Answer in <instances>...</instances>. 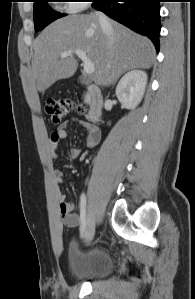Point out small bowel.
Masks as SVG:
<instances>
[{
    "label": "small bowel",
    "mask_w": 195,
    "mask_h": 299,
    "mask_svg": "<svg viewBox=\"0 0 195 299\" xmlns=\"http://www.w3.org/2000/svg\"><path fill=\"white\" fill-rule=\"evenodd\" d=\"M74 122H76L80 127L86 130L87 148L95 147L99 143L101 138L99 129L95 125L84 120L75 119ZM67 126L68 123L62 124L53 132L49 139V148L53 158H56V150L58 148L59 143L62 140L68 138ZM82 153V150L78 148H74L71 150V156L73 158L80 157ZM52 175L55 181V193L58 199L59 213L63 225H65L68 228H77L81 226V217L74 212L73 202L67 200L66 195L61 190L60 183L63 181V172L59 169H54Z\"/></svg>",
    "instance_id": "small-bowel-1"
}]
</instances>
